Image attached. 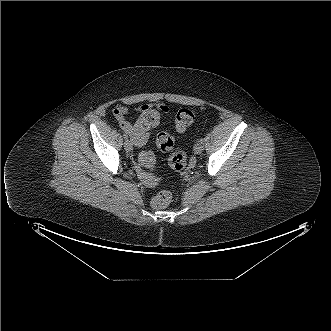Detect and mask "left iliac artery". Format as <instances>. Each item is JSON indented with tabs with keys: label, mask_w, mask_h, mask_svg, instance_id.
I'll use <instances>...</instances> for the list:
<instances>
[{
	"label": "left iliac artery",
	"mask_w": 331,
	"mask_h": 331,
	"mask_svg": "<svg viewBox=\"0 0 331 331\" xmlns=\"http://www.w3.org/2000/svg\"><path fill=\"white\" fill-rule=\"evenodd\" d=\"M199 142L203 144L204 143V139L203 138H200Z\"/></svg>",
	"instance_id": "left-iliac-artery-1"
}]
</instances>
